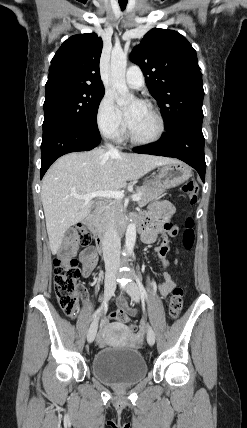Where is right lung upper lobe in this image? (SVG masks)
Wrapping results in <instances>:
<instances>
[{"label": "right lung upper lobe", "instance_id": "obj_1", "mask_svg": "<svg viewBox=\"0 0 247 428\" xmlns=\"http://www.w3.org/2000/svg\"><path fill=\"white\" fill-rule=\"evenodd\" d=\"M103 42L95 33L68 38L56 52L46 92L60 88H91L104 90L99 72Z\"/></svg>", "mask_w": 247, "mask_h": 428}]
</instances>
